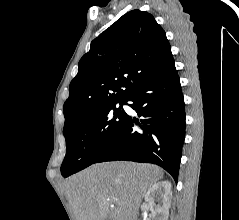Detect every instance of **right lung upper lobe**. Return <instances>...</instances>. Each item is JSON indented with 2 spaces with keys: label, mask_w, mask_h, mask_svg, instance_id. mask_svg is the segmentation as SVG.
<instances>
[{
  "label": "right lung upper lobe",
  "mask_w": 239,
  "mask_h": 220,
  "mask_svg": "<svg viewBox=\"0 0 239 220\" xmlns=\"http://www.w3.org/2000/svg\"><path fill=\"white\" fill-rule=\"evenodd\" d=\"M172 60L165 31L154 17L140 10L126 13L91 42L79 61L64 103V130L93 110L125 102Z\"/></svg>",
  "instance_id": "cb5924a9"
}]
</instances>
